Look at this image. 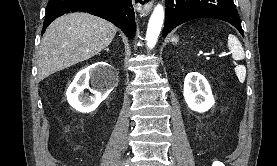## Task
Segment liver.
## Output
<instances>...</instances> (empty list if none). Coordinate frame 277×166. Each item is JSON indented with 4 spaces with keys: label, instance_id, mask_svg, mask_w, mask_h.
<instances>
[{
    "label": "liver",
    "instance_id": "1",
    "mask_svg": "<svg viewBox=\"0 0 277 166\" xmlns=\"http://www.w3.org/2000/svg\"><path fill=\"white\" fill-rule=\"evenodd\" d=\"M116 32L112 23L88 13L59 17L49 25L41 40L38 79L99 54L110 45Z\"/></svg>",
    "mask_w": 277,
    "mask_h": 166
}]
</instances>
